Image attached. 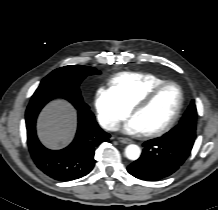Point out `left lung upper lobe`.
<instances>
[{
	"mask_svg": "<svg viewBox=\"0 0 218 210\" xmlns=\"http://www.w3.org/2000/svg\"><path fill=\"white\" fill-rule=\"evenodd\" d=\"M196 119H197V109L194 100L191 102L187 111L184 113L180 123L170 130L168 133L164 134L166 136L176 137V135L181 134L180 130L186 128L187 130L192 131L195 136L196 128Z\"/></svg>",
	"mask_w": 218,
	"mask_h": 210,
	"instance_id": "left-lung-upper-lobe-1",
	"label": "left lung upper lobe"
}]
</instances>
